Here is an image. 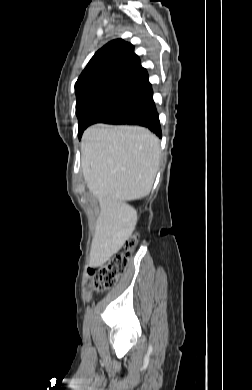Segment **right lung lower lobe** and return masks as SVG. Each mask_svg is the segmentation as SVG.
Wrapping results in <instances>:
<instances>
[{
    "instance_id": "98d812e1",
    "label": "right lung lower lobe",
    "mask_w": 252,
    "mask_h": 390,
    "mask_svg": "<svg viewBox=\"0 0 252 390\" xmlns=\"http://www.w3.org/2000/svg\"><path fill=\"white\" fill-rule=\"evenodd\" d=\"M153 92L129 108L113 115L104 123L132 124L149 128L159 137H162L158 113L152 98Z\"/></svg>"
}]
</instances>
